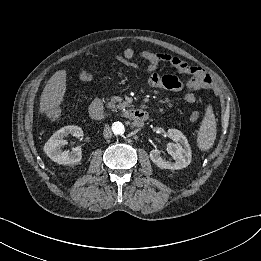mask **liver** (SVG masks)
<instances>
[{"mask_svg": "<svg viewBox=\"0 0 261 261\" xmlns=\"http://www.w3.org/2000/svg\"><path fill=\"white\" fill-rule=\"evenodd\" d=\"M66 70L56 71L48 80L40 96V113H47L57 108L66 92Z\"/></svg>", "mask_w": 261, "mask_h": 261, "instance_id": "obj_1", "label": "liver"}]
</instances>
